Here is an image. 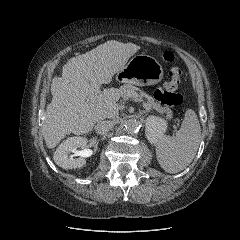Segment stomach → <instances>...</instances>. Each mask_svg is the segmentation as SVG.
<instances>
[{"mask_svg":"<svg viewBox=\"0 0 240 240\" xmlns=\"http://www.w3.org/2000/svg\"><path fill=\"white\" fill-rule=\"evenodd\" d=\"M164 72L161 64L152 56L146 54L135 55L120 70L116 79L120 82L138 86H148L159 83Z\"/></svg>","mask_w":240,"mask_h":240,"instance_id":"1","label":"stomach"}]
</instances>
